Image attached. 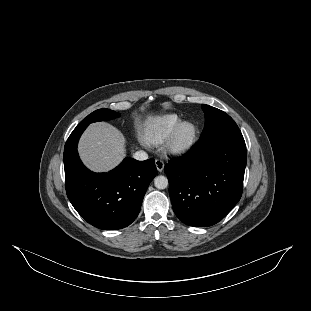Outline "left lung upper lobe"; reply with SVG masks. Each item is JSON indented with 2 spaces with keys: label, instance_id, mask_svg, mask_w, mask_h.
<instances>
[{
  "label": "left lung upper lobe",
  "instance_id": "left-lung-upper-lobe-1",
  "mask_svg": "<svg viewBox=\"0 0 311 311\" xmlns=\"http://www.w3.org/2000/svg\"><path fill=\"white\" fill-rule=\"evenodd\" d=\"M202 109L205 113V128L200 138L218 131L239 129L227 113L208 105H202Z\"/></svg>",
  "mask_w": 311,
  "mask_h": 311
}]
</instances>
